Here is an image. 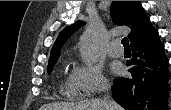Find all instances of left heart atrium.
<instances>
[{
	"instance_id": "39dd6f15",
	"label": "left heart atrium",
	"mask_w": 171,
	"mask_h": 110,
	"mask_svg": "<svg viewBox=\"0 0 171 110\" xmlns=\"http://www.w3.org/2000/svg\"><path fill=\"white\" fill-rule=\"evenodd\" d=\"M111 69H112V72H113L114 74H119V73L121 72V68H120V66L117 65V64H113V65L111 66Z\"/></svg>"
}]
</instances>
